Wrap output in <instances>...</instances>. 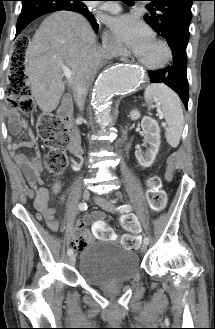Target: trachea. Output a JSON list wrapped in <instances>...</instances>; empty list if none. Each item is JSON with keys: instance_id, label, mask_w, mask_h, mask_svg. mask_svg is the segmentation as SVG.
<instances>
[{"instance_id": "1", "label": "trachea", "mask_w": 215, "mask_h": 329, "mask_svg": "<svg viewBox=\"0 0 215 329\" xmlns=\"http://www.w3.org/2000/svg\"><path fill=\"white\" fill-rule=\"evenodd\" d=\"M127 5H133L135 0H120Z\"/></svg>"}]
</instances>
